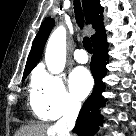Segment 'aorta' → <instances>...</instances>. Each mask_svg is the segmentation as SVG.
I'll use <instances>...</instances> for the list:
<instances>
[{
	"label": "aorta",
	"mask_w": 136,
	"mask_h": 136,
	"mask_svg": "<svg viewBox=\"0 0 136 136\" xmlns=\"http://www.w3.org/2000/svg\"><path fill=\"white\" fill-rule=\"evenodd\" d=\"M45 62L47 69L52 74H60L66 64V29L63 25L57 27L50 35Z\"/></svg>",
	"instance_id": "aorta-1"
}]
</instances>
